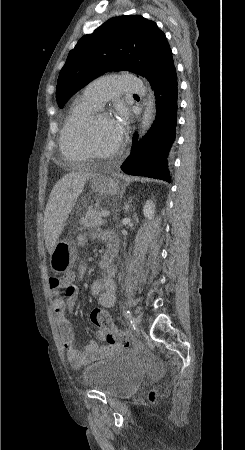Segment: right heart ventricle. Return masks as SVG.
I'll return each instance as SVG.
<instances>
[{
  "instance_id": "e07e8e85",
  "label": "right heart ventricle",
  "mask_w": 245,
  "mask_h": 450,
  "mask_svg": "<svg viewBox=\"0 0 245 450\" xmlns=\"http://www.w3.org/2000/svg\"><path fill=\"white\" fill-rule=\"evenodd\" d=\"M92 101L82 93L75 98L60 133L61 153L75 161H86L89 153L85 145V128L91 113L96 110Z\"/></svg>"
}]
</instances>
